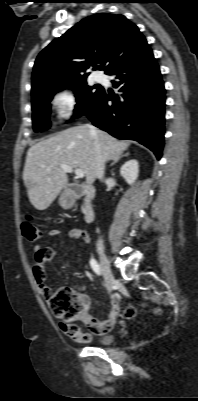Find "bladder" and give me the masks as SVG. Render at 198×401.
Listing matches in <instances>:
<instances>
[{
    "label": "bladder",
    "mask_w": 198,
    "mask_h": 401,
    "mask_svg": "<svg viewBox=\"0 0 198 401\" xmlns=\"http://www.w3.org/2000/svg\"><path fill=\"white\" fill-rule=\"evenodd\" d=\"M98 344L100 346H108L113 342V336L110 334H102L98 337Z\"/></svg>",
    "instance_id": "1"
}]
</instances>
